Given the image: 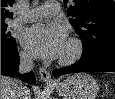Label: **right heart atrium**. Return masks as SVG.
Segmentation results:
<instances>
[{
  "label": "right heart atrium",
  "mask_w": 115,
  "mask_h": 99,
  "mask_svg": "<svg viewBox=\"0 0 115 99\" xmlns=\"http://www.w3.org/2000/svg\"><path fill=\"white\" fill-rule=\"evenodd\" d=\"M21 58L24 61H29L30 60V56L25 51L21 52Z\"/></svg>",
  "instance_id": "right-heart-atrium-1"
}]
</instances>
